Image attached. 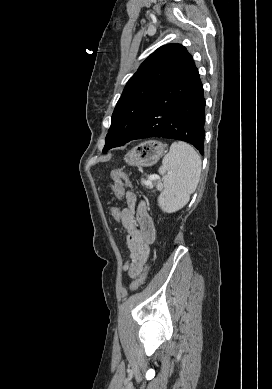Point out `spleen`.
Here are the masks:
<instances>
[{
    "instance_id": "3e777b00",
    "label": "spleen",
    "mask_w": 272,
    "mask_h": 389,
    "mask_svg": "<svg viewBox=\"0 0 272 389\" xmlns=\"http://www.w3.org/2000/svg\"><path fill=\"white\" fill-rule=\"evenodd\" d=\"M159 173L165 176L164 189L158 197V204L165 212H176L187 204L198 185L201 173L200 156L187 143L174 142L162 160Z\"/></svg>"
}]
</instances>
